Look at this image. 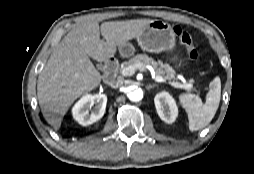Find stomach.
Instances as JSON below:
<instances>
[{
    "label": "stomach",
    "mask_w": 254,
    "mask_h": 174,
    "mask_svg": "<svg viewBox=\"0 0 254 174\" xmlns=\"http://www.w3.org/2000/svg\"><path fill=\"white\" fill-rule=\"evenodd\" d=\"M137 42L143 51L154 53L172 51L175 46V34L168 23L153 20L137 37ZM119 52L122 57H129L134 53V47L127 42L119 46ZM172 61L178 67L181 66L177 56H173Z\"/></svg>",
    "instance_id": "stomach-1"
}]
</instances>
